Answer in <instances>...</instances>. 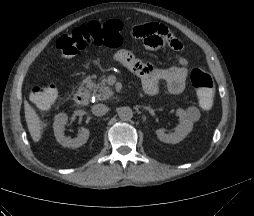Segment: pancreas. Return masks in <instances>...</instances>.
<instances>
[{
    "instance_id": "obj_1",
    "label": "pancreas",
    "mask_w": 254,
    "mask_h": 216,
    "mask_svg": "<svg viewBox=\"0 0 254 216\" xmlns=\"http://www.w3.org/2000/svg\"><path fill=\"white\" fill-rule=\"evenodd\" d=\"M87 87L90 90H92L93 96H95L96 100H98V101H104V100L110 98L113 95V91L107 85L106 79H102L97 84L89 82L87 84Z\"/></svg>"
}]
</instances>
